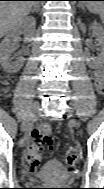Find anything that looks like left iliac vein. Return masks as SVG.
<instances>
[{"instance_id":"1","label":"left iliac vein","mask_w":104,"mask_h":189,"mask_svg":"<svg viewBox=\"0 0 104 189\" xmlns=\"http://www.w3.org/2000/svg\"><path fill=\"white\" fill-rule=\"evenodd\" d=\"M72 123L74 124L75 127H78V123L76 120H72Z\"/></svg>"}]
</instances>
